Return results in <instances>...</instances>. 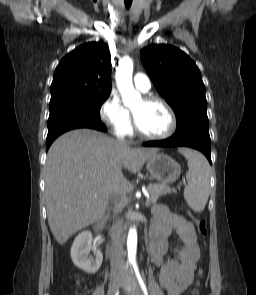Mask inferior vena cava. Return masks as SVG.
I'll list each match as a JSON object with an SVG mask.
<instances>
[{
  "label": "inferior vena cava",
  "mask_w": 256,
  "mask_h": 295,
  "mask_svg": "<svg viewBox=\"0 0 256 295\" xmlns=\"http://www.w3.org/2000/svg\"><path fill=\"white\" fill-rule=\"evenodd\" d=\"M115 195H119L117 189L114 190ZM120 213V208L116 207L114 214L117 216ZM123 226L119 219H115L112 226V245H111V272H121L123 269Z\"/></svg>",
  "instance_id": "inferior-vena-cava-1"
}]
</instances>
